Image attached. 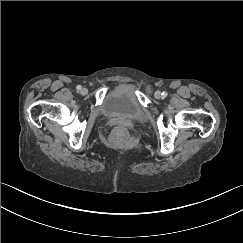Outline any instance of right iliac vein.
Instances as JSON below:
<instances>
[{"label": "right iliac vein", "mask_w": 243, "mask_h": 243, "mask_svg": "<svg viewBox=\"0 0 243 243\" xmlns=\"http://www.w3.org/2000/svg\"><path fill=\"white\" fill-rule=\"evenodd\" d=\"M80 93H81L82 95H86V94L88 93V90H87L86 88H82V89L80 90Z\"/></svg>", "instance_id": "right-iliac-vein-1"}]
</instances>
